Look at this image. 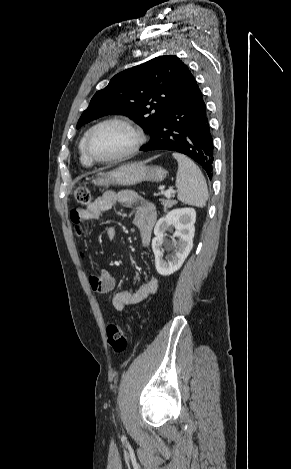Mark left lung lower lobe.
<instances>
[{
  "label": "left lung lower lobe",
  "mask_w": 291,
  "mask_h": 469,
  "mask_svg": "<svg viewBox=\"0 0 291 469\" xmlns=\"http://www.w3.org/2000/svg\"><path fill=\"white\" fill-rule=\"evenodd\" d=\"M171 150L195 160L212 178L214 162L213 138L202 93L194 76L166 110L148 145V150Z\"/></svg>",
  "instance_id": "0a47b994"
}]
</instances>
